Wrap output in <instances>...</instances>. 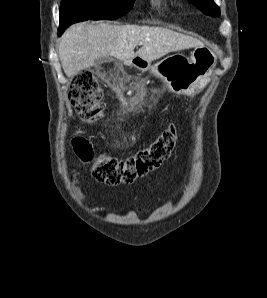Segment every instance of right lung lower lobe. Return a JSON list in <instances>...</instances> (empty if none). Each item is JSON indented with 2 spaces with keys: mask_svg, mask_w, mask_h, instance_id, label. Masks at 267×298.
Wrapping results in <instances>:
<instances>
[{
  "mask_svg": "<svg viewBox=\"0 0 267 298\" xmlns=\"http://www.w3.org/2000/svg\"><path fill=\"white\" fill-rule=\"evenodd\" d=\"M65 29L62 27H59V35L64 31Z\"/></svg>",
  "mask_w": 267,
  "mask_h": 298,
  "instance_id": "obj_1",
  "label": "right lung lower lobe"
}]
</instances>
